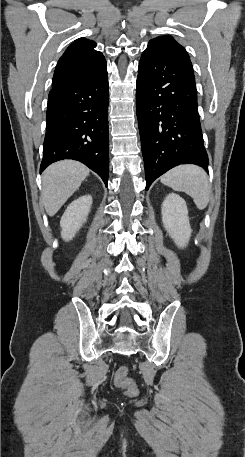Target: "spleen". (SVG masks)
<instances>
[{"label": "spleen", "instance_id": "obj_1", "mask_svg": "<svg viewBox=\"0 0 245 457\" xmlns=\"http://www.w3.org/2000/svg\"><path fill=\"white\" fill-rule=\"evenodd\" d=\"M161 182L174 190H182L192 196L197 208H206L210 200L208 176L201 166L179 164L161 176Z\"/></svg>", "mask_w": 245, "mask_h": 457}]
</instances>
